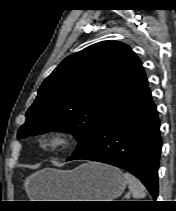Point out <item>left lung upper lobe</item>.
Returning a JSON list of instances; mask_svg holds the SVG:
<instances>
[{
    "label": "left lung upper lobe",
    "instance_id": "5c2ea615",
    "mask_svg": "<svg viewBox=\"0 0 176 211\" xmlns=\"http://www.w3.org/2000/svg\"><path fill=\"white\" fill-rule=\"evenodd\" d=\"M148 89L141 61L129 46L103 41L65 58L42 83L18 138L48 131L73 134L83 152L105 120Z\"/></svg>",
    "mask_w": 176,
    "mask_h": 211
}]
</instances>
